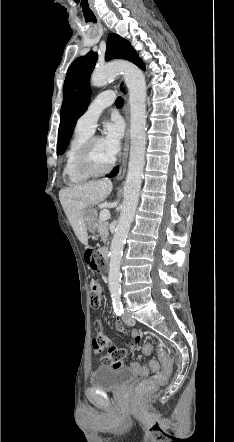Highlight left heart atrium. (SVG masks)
<instances>
[{"label":"left heart atrium","mask_w":234,"mask_h":442,"mask_svg":"<svg viewBox=\"0 0 234 442\" xmlns=\"http://www.w3.org/2000/svg\"><path fill=\"white\" fill-rule=\"evenodd\" d=\"M123 137V125L118 118L107 121L104 125L102 144L107 153L114 158L120 149Z\"/></svg>","instance_id":"obj_1"}]
</instances>
